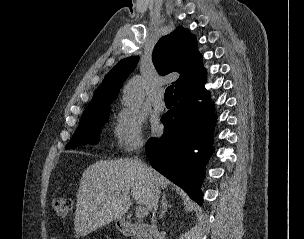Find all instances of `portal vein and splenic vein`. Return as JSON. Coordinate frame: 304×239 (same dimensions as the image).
<instances>
[{
    "mask_svg": "<svg viewBox=\"0 0 304 239\" xmlns=\"http://www.w3.org/2000/svg\"><path fill=\"white\" fill-rule=\"evenodd\" d=\"M147 214V210L144 206H138L136 209V217L138 219L144 218Z\"/></svg>",
    "mask_w": 304,
    "mask_h": 239,
    "instance_id": "18ae733b",
    "label": "portal vein and splenic vein"
}]
</instances>
